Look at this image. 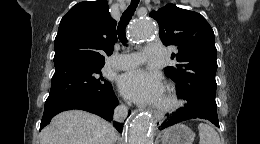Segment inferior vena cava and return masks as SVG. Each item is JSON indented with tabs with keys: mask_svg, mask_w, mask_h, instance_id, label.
Returning <instances> with one entry per match:
<instances>
[{
	"mask_svg": "<svg viewBox=\"0 0 260 144\" xmlns=\"http://www.w3.org/2000/svg\"><path fill=\"white\" fill-rule=\"evenodd\" d=\"M127 113V107H125L124 105H119L114 110L113 118L118 122H123L124 119L127 117Z\"/></svg>",
	"mask_w": 260,
	"mask_h": 144,
	"instance_id": "602c4592",
	"label": "inferior vena cava"
}]
</instances>
